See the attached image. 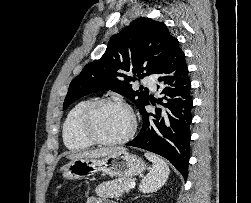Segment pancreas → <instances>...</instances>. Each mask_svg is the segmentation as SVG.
<instances>
[{
  "mask_svg": "<svg viewBox=\"0 0 251 203\" xmlns=\"http://www.w3.org/2000/svg\"><path fill=\"white\" fill-rule=\"evenodd\" d=\"M132 182V179H116L111 181H106L99 184L95 192L98 196L103 198H118L122 196L123 193L129 192V184Z\"/></svg>",
  "mask_w": 251,
  "mask_h": 203,
  "instance_id": "obj_1",
  "label": "pancreas"
}]
</instances>
